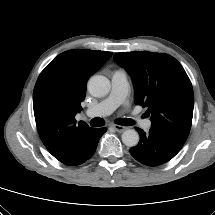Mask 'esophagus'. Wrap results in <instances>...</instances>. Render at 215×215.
I'll return each mask as SVG.
<instances>
[{
  "mask_svg": "<svg viewBox=\"0 0 215 215\" xmlns=\"http://www.w3.org/2000/svg\"><path fill=\"white\" fill-rule=\"evenodd\" d=\"M113 128L117 131V132H123L127 129V127L125 126H121V125H113Z\"/></svg>",
  "mask_w": 215,
  "mask_h": 215,
  "instance_id": "obj_1",
  "label": "esophagus"
}]
</instances>
